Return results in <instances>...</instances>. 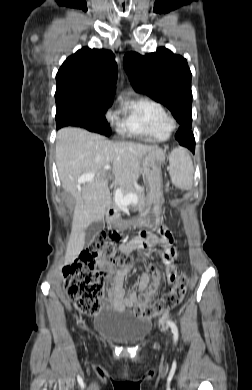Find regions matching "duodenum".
<instances>
[{
  "label": "duodenum",
  "instance_id": "obj_1",
  "mask_svg": "<svg viewBox=\"0 0 252 390\" xmlns=\"http://www.w3.org/2000/svg\"><path fill=\"white\" fill-rule=\"evenodd\" d=\"M107 215L109 218L110 225H114L117 218V211L114 207H110L107 210Z\"/></svg>",
  "mask_w": 252,
  "mask_h": 390
}]
</instances>
